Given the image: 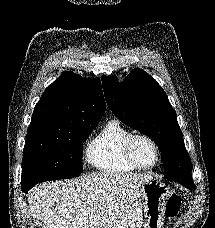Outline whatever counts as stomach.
<instances>
[{
    "mask_svg": "<svg viewBox=\"0 0 215 228\" xmlns=\"http://www.w3.org/2000/svg\"><path fill=\"white\" fill-rule=\"evenodd\" d=\"M172 194L173 190L157 178L141 186L138 196L144 218L141 228H163L167 202Z\"/></svg>",
    "mask_w": 215,
    "mask_h": 228,
    "instance_id": "1",
    "label": "stomach"
}]
</instances>
